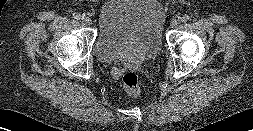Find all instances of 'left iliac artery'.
I'll return each instance as SVG.
<instances>
[{
  "mask_svg": "<svg viewBox=\"0 0 253 131\" xmlns=\"http://www.w3.org/2000/svg\"><path fill=\"white\" fill-rule=\"evenodd\" d=\"M181 22H187L189 21L190 17L188 15H183L182 17L179 18Z\"/></svg>",
  "mask_w": 253,
  "mask_h": 131,
  "instance_id": "obj_1",
  "label": "left iliac artery"
}]
</instances>
